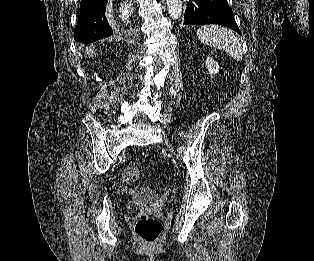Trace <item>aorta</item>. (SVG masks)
I'll return each mask as SVG.
<instances>
[{
	"label": "aorta",
	"mask_w": 314,
	"mask_h": 261,
	"mask_svg": "<svg viewBox=\"0 0 314 261\" xmlns=\"http://www.w3.org/2000/svg\"><path fill=\"white\" fill-rule=\"evenodd\" d=\"M168 13L172 19H178L182 14L181 0H166Z\"/></svg>",
	"instance_id": "aorta-1"
}]
</instances>
